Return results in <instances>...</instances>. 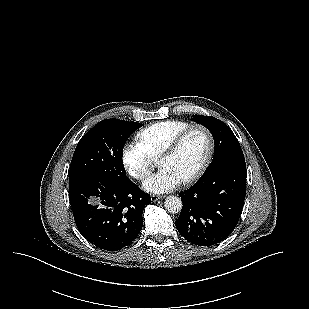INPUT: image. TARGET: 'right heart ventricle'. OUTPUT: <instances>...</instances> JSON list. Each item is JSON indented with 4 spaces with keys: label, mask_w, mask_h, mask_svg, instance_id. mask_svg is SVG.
<instances>
[{
    "label": "right heart ventricle",
    "mask_w": 309,
    "mask_h": 309,
    "mask_svg": "<svg viewBox=\"0 0 309 309\" xmlns=\"http://www.w3.org/2000/svg\"><path fill=\"white\" fill-rule=\"evenodd\" d=\"M191 126L182 120H167L154 123L137 134L138 143L156 159L161 156L171 141L184 129Z\"/></svg>",
    "instance_id": "right-heart-ventricle-1"
}]
</instances>
